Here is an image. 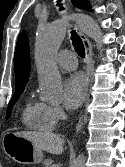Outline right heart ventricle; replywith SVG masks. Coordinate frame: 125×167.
<instances>
[{
    "mask_svg": "<svg viewBox=\"0 0 125 167\" xmlns=\"http://www.w3.org/2000/svg\"><path fill=\"white\" fill-rule=\"evenodd\" d=\"M21 119L26 127L36 131H51L55 127L50 116L49 105L32 96L24 105Z\"/></svg>",
    "mask_w": 125,
    "mask_h": 167,
    "instance_id": "right-heart-ventricle-1",
    "label": "right heart ventricle"
}]
</instances>
